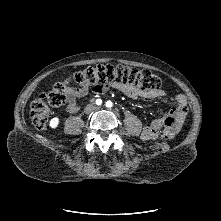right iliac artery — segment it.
Listing matches in <instances>:
<instances>
[{
    "instance_id": "right-iliac-artery-1",
    "label": "right iliac artery",
    "mask_w": 221,
    "mask_h": 221,
    "mask_svg": "<svg viewBox=\"0 0 221 221\" xmlns=\"http://www.w3.org/2000/svg\"><path fill=\"white\" fill-rule=\"evenodd\" d=\"M101 103H102V100H101V99H97V100H96V104H97V105H101Z\"/></svg>"
}]
</instances>
